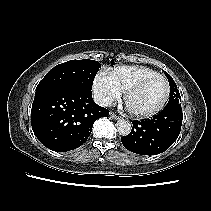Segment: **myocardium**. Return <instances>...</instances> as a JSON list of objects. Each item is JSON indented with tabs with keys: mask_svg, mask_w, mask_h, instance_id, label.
I'll list each match as a JSON object with an SVG mask.
<instances>
[{
	"mask_svg": "<svg viewBox=\"0 0 211 211\" xmlns=\"http://www.w3.org/2000/svg\"><path fill=\"white\" fill-rule=\"evenodd\" d=\"M155 79H161L166 84V94H165L162 102L156 108H154L153 110L148 111V112H137V111L132 110L127 103L128 97L132 93L138 91L143 86H145L147 83H149L150 81L155 80ZM170 93H171V88H170L168 79L166 77H164L163 75L158 74V75H154V76L145 77V78L141 79L140 81H138L137 83H135L134 85L130 86L127 90L124 91L123 99H124V103H125L126 107L128 108L129 112L134 117L139 118V119H147V118H151V117L157 115L158 113H160L163 110V108L165 107L166 103L169 100Z\"/></svg>",
	"mask_w": 211,
	"mask_h": 211,
	"instance_id": "obj_1",
	"label": "myocardium"
}]
</instances>
